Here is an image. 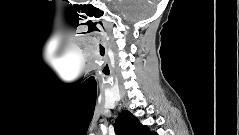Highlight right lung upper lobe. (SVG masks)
<instances>
[{
	"label": "right lung upper lobe",
	"mask_w": 239,
	"mask_h": 135,
	"mask_svg": "<svg viewBox=\"0 0 239 135\" xmlns=\"http://www.w3.org/2000/svg\"><path fill=\"white\" fill-rule=\"evenodd\" d=\"M121 117L122 120L117 118L114 124L116 135H157L150 132L149 128L142 125L129 111H122Z\"/></svg>",
	"instance_id": "cb5924a9"
}]
</instances>
